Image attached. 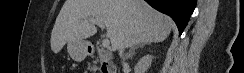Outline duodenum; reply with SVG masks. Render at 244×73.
Returning <instances> with one entry per match:
<instances>
[{
	"label": "duodenum",
	"instance_id": "410a0bca",
	"mask_svg": "<svg viewBox=\"0 0 244 73\" xmlns=\"http://www.w3.org/2000/svg\"><path fill=\"white\" fill-rule=\"evenodd\" d=\"M90 52H92L91 49H90ZM102 72L103 73H114V70L111 69V66L109 63H104L103 67H102Z\"/></svg>",
	"mask_w": 244,
	"mask_h": 73
}]
</instances>
